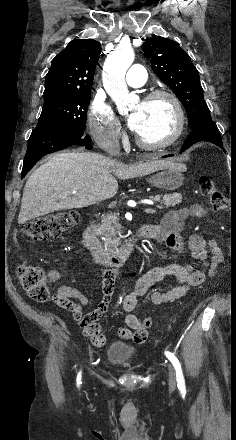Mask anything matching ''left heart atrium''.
I'll return each instance as SVG.
<instances>
[{"instance_id": "obj_1", "label": "left heart atrium", "mask_w": 236, "mask_h": 440, "mask_svg": "<svg viewBox=\"0 0 236 440\" xmlns=\"http://www.w3.org/2000/svg\"><path fill=\"white\" fill-rule=\"evenodd\" d=\"M142 120H143V113L141 109L134 110L128 119V126L130 130L137 132Z\"/></svg>"}]
</instances>
